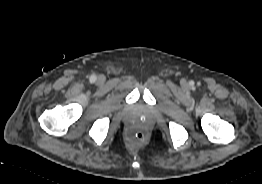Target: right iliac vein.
Masks as SVG:
<instances>
[{
    "label": "right iliac vein",
    "instance_id": "obj_1",
    "mask_svg": "<svg viewBox=\"0 0 262 184\" xmlns=\"http://www.w3.org/2000/svg\"><path fill=\"white\" fill-rule=\"evenodd\" d=\"M97 81L98 82H103L104 81V77L103 76H98Z\"/></svg>",
    "mask_w": 262,
    "mask_h": 184
}]
</instances>
